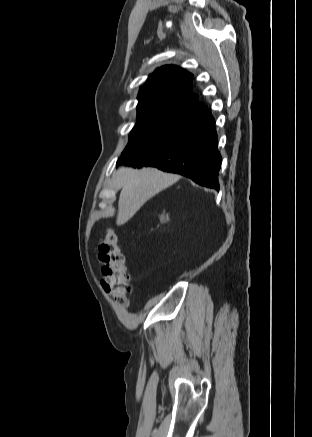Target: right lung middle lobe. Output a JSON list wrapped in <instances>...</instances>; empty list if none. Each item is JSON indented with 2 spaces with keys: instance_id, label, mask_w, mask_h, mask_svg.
<instances>
[{
  "instance_id": "dd1d6c3e",
  "label": "right lung middle lobe",
  "mask_w": 312,
  "mask_h": 437,
  "mask_svg": "<svg viewBox=\"0 0 312 437\" xmlns=\"http://www.w3.org/2000/svg\"><path fill=\"white\" fill-rule=\"evenodd\" d=\"M200 114L176 107L153 105L139 107L137 123L121 156L158 146L189 128Z\"/></svg>"
}]
</instances>
